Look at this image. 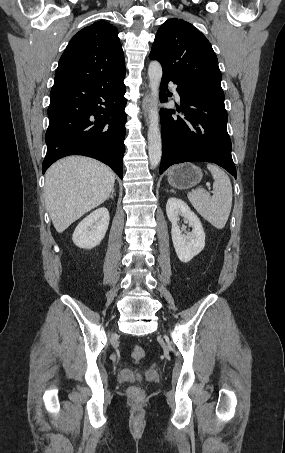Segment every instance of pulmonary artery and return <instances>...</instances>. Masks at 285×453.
I'll return each mask as SVG.
<instances>
[{
    "mask_svg": "<svg viewBox=\"0 0 285 453\" xmlns=\"http://www.w3.org/2000/svg\"><path fill=\"white\" fill-rule=\"evenodd\" d=\"M171 88L173 90V93H174L175 97L179 100L180 99V95L178 93L177 86L174 85V84H171Z\"/></svg>",
    "mask_w": 285,
    "mask_h": 453,
    "instance_id": "obj_1",
    "label": "pulmonary artery"
}]
</instances>
